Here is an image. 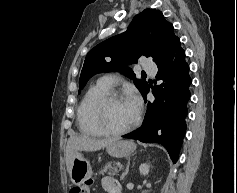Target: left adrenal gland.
Listing matches in <instances>:
<instances>
[{
  "label": "left adrenal gland",
  "instance_id": "left-adrenal-gland-1",
  "mask_svg": "<svg viewBox=\"0 0 237 193\" xmlns=\"http://www.w3.org/2000/svg\"><path fill=\"white\" fill-rule=\"evenodd\" d=\"M129 167H130V159H129V161H128V164H127V167H126V170H125V172L122 174V176H121V180H123L124 178H125V176L128 174V172H129Z\"/></svg>",
  "mask_w": 237,
  "mask_h": 193
}]
</instances>
